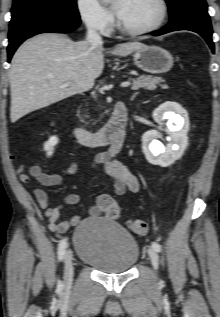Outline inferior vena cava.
<instances>
[{"label": "inferior vena cava", "mask_w": 220, "mask_h": 317, "mask_svg": "<svg viewBox=\"0 0 220 317\" xmlns=\"http://www.w3.org/2000/svg\"><path fill=\"white\" fill-rule=\"evenodd\" d=\"M86 40L93 48L102 46L103 44L101 36L98 34L93 25H88Z\"/></svg>", "instance_id": "inferior-vena-cava-1"}]
</instances>
